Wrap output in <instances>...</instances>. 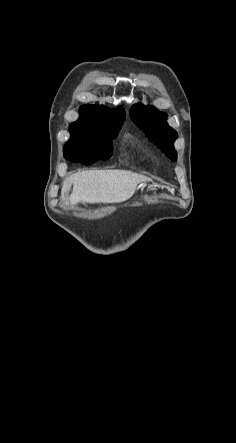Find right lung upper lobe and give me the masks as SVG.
<instances>
[{
  "mask_svg": "<svg viewBox=\"0 0 236 443\" xmlns=\"http://www.w3.org/2000/svg\"><path fill=\"white\" fill-rule=\"evenodd\" d=\"M79 118H102L117 121H124L126 113L124 109H107L99 105H83L79 109Z\"/></svg>",
  "mask_w": 236,
  "mask_h": 443,
  "instance_id": "obj_1",
  "label": "right lung upper lobe"
}]
</instances>
